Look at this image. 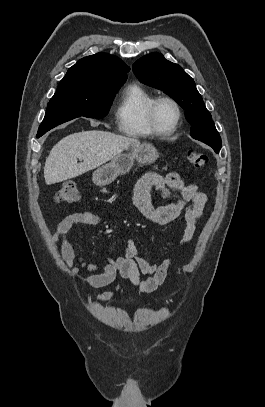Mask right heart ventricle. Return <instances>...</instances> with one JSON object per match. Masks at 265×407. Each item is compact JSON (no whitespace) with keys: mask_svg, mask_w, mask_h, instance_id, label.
<instances>
[{"mask_svg":"<svg viewBox=\"0 0 265 407\" xmlns=\"http://www.w3.org/2000/svg\"><path fill=\"white\" fill-rule=\"evenodd\" d=\"M154 99V95L143 86L128 85L123 90L115 110L120 132L136 138L155 136L147 119L148 108Z\"/></svg>","mask_w":265,"mask_h":407,"instance_id":"obj_1","label":"right heart ventricle"}]
</instances>
